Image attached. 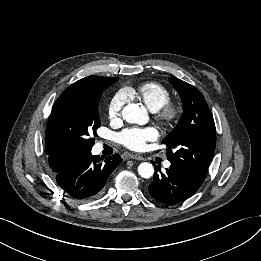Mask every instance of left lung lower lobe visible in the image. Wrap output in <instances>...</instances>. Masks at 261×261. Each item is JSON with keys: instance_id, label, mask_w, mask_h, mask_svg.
<instances>
[{"instance_id": "obj_1", "label": "left lung lower lobe", "mask_w": 261, "mask_h": 261, "mask_svg": "<svg viewBox=\"0 0 261 261\" xmlns=\"http://www.w3.org/2000/svg\"><path fill=\"white\" fill-rule=\"evenodd\" d=\"M155 171L149 193L156 201L167 205H175L188 199L203 183L173 163L165 173L158 166H155Z\"/></svg>"}]
</instances>
